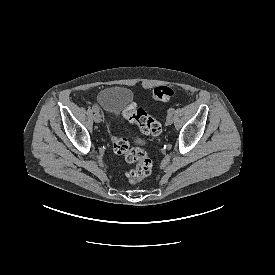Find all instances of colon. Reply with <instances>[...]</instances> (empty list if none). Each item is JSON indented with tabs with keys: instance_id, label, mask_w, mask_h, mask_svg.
I'll return each instance as SVG.
<instances>
[{
	"instance_id": "obj_1",
	"label": "colon",
	"mask_w": 275,
	"mask_h": 275,
	"mask_svg": "<svg viewBox=\"0 0 275 275\" xmlns=\"http://www.w3.org/2000/svg\"><path fill=\"white\" fill-rule=\"evenodd\" d=\"M173 95L174 90L169 86H157L152 91V97L161 102L170 100ZM124 116L137 124L145 135L157 136L162 132L160 121L133 103L125 107ZM112 145L117 155L123 156L129 163H135V167L127 173L130 183H138L151 174L153 164L143 149L132 147L128 139L115 134L112 135Z\"/></svg>"
}]
</instances>
